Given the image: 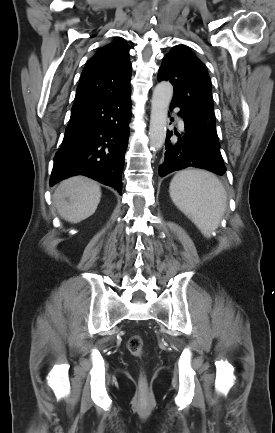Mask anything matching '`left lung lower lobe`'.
<instances>
[{
  "mask_svg": "<svg viewBox=\"0 0 275 433\" xmlns=\"http://www.w3.org/2000/svg\"><path fill=\"white\" fill-rule=\"evenodd\" d=\"M179 107L185 124V130L179 134L177 141L171 142L172 132L167 131L165 142V157L159 167V175L165 176L173 171L184 169L186 167H196L206 169L218 175H223L226 167L219 148L214 139L204 131L192 126L188 121V114L183 105L176 99L171 101L170 108Z\"/></svg>",
  "mask_w": 275,
  "mask_h": 433,
  "instance_id": "0a47b994",
  "label": "left lung lower lobe"
}]
</instances>
